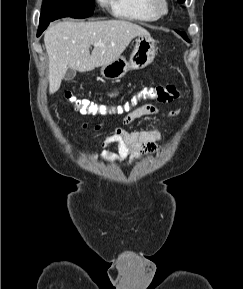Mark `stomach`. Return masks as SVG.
<instances>
[{"mask_svg":"<svg viewBox=\"0 0 243 289\" xmlns=\"http://www.w3.org/2000/svg\"><path fill=\"white\" fill-rule=\"evenodd\" d=\"M156 54V41L151 35H138L134 50L129 60L118 57L111 63L102 66L101 75L106 79H119L129 70L142 69L153 62Z\"/></svg>","mask_w":243,"mask_h":289,"instance_id":"1","label":"stomach"}]
</instances>
